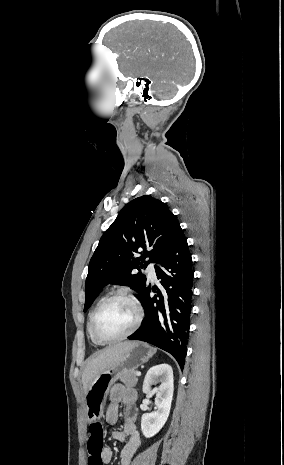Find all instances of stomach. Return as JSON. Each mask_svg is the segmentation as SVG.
I'll return each mask as SVG.
<instances>
[{"mask_svg": "<svg viewBox=\"0 0 284 465\" xmlns=\"http://www.w3.org/2000/svg\"><path fill=\"white\" fill-rule=\"evenodd\" d=\"M153 355L154 349L152 347H149L146 343H141V341H133L130 349L124 353L115 367L107 369V371H104V373L93 379L85 395V409L88 423L100 421L101 417H103L109 391L115 381H117L119 375H122V373H131L139 365L147 363Z\"/></svg>", "mask_w": 284, "mask_h": 465, "instance_id": "obj_1", "label": "stomach"}]
</instances>
